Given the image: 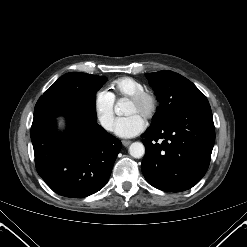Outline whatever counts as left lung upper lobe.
<instances>
[{
	"label": "left lung upper lobe",
	"mask_w": 247,
	"mask_h": 247,
	"mask_svg": "<svg viewBox=\"0 0 247 247\" xmlns=\"http://www.w3.org/2000/svg\"><path fill=\"white\" fill-rule=\"evenodd\" d=\"M160 106L151 126L173 118L188 108L209 104L199 89L182 75L164 70L146 75Z\"/></svg>",
	"instance_id": "5c2ea615"
}]
</instances>
